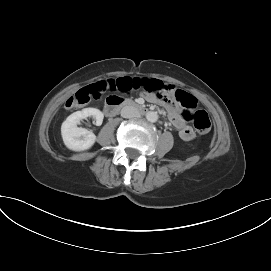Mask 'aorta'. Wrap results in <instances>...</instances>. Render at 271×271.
<instances>
[{
    "label": "aorta",
    "mask_w": 271,
    "mask_h": 271,
    "mask_svg": "<svg viewBox=\"0 0 271 271\" xmlns=\"http://www.w3.org/2000/svg\"><path fill=\"white\" fill-rule=\"evenodd\" d=\"M146 119L150 122H156L158 120L157 112L149 111L146 114Z\"/></svg>",
    "instance_id": "1"
}]
</instances>
